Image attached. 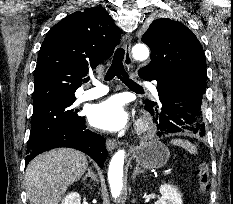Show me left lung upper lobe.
Wrapping results in <instances>:
<instances>
[{
	"instance_id": "obj_1",
	"label": "left lung upper lobe",
	"mask_w": 233,
	"mask_h": 204,
	"mask_svg": "<svg viewBox=\"0 0 233 204\" xmlns=\"http://www.w3.org/2000/svg\"><path fill=\"white\" fill-rule=\"evenodd\" d=\"M142 41L151 49V62L138 72L149 77L160 68L179 70L184 76L206 88V60L202 46L185 25L169 18L155 19ZM146 104L156 105L148 101Z\"/></svg>"
}]
</instances>
